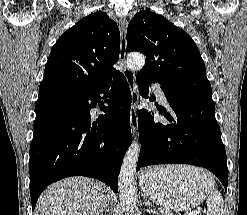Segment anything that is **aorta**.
I'll return each mask as SVG.
<instances>
[{
	"mask_svg": "<svg viewBox=\"0 0 247 215\" xmlns=\"http://www.w3.org/2000/svg\"><path fill=\"white\" fill-rule=\"evenodd\" d=\"M145 64V56L130 53L127 65L132 70H140ZM140 153L139 142H133L127 150L118 177V190L122 210L125 215H140L135 193V173Z\"/></svg>",
	"mask_w": 247,
	"mask_h": 215,
	"instance_id": "762f6f07",
	"label": "aorta"
}]
</instances>
